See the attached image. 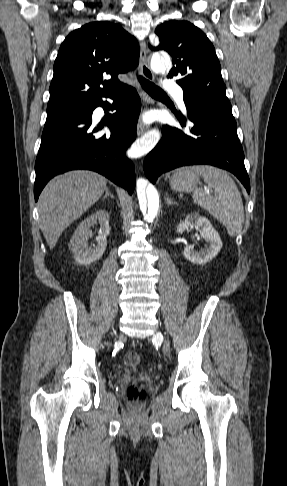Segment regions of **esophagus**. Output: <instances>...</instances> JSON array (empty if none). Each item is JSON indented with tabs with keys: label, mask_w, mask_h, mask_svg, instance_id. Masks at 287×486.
<instances>
[{
	"label": "esophagus",
	"mask_w": 287,
	"mask_h": 486,
	"mask_svg": "<svg viewBox=\"0 0 287 486\" xmlns=\"http://www.w3.org/2000/svg\"><path fill=\"white\" fill-rule=\"evenodd\" d=\"M140 72L145 79L149 81L154 80V74L151 71L147 61V51H146V45L144 41L140 42ZM144 101L146 106L149 103H151L150 98H148L147 96L144 97ZM147 131H148V127L144 125L142 122H139L137 127L138 136L145 134Z\"/></svg>",
	"instance_id": "34e87169"
}]
</instances>
